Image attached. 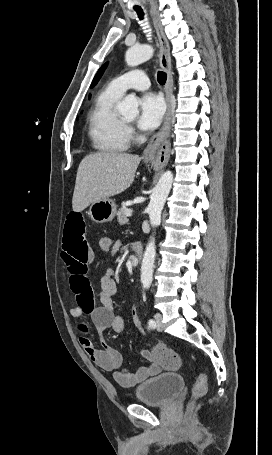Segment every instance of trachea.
<instances>
[{"mask_svg":"<svg viewBox=\"0 0 272 455\" xmlns=\"http://www.w3.org/2000/svg\"><path fill=\"white\" fill-rule=\"evenodd\" d=\"M134 10L137 12L139 19H143L144 17V12L140 7L134 8ZM157 80L159 84L164 85L166 80H167V74L163 71H159L157 74Z\"/></svg>","mask_w":272,"mask_h":455,"instance_id":"3493384b","label":"trachea"}]
</instances>
